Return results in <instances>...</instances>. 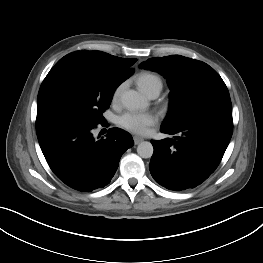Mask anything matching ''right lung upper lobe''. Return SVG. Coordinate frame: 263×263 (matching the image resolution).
Masks as SVG:
<instances>
[{
  "instance_id": "obj_1",
  "label": "right lung upper lobe",
  "mask_w": 263,
  "mask_h": 263,
  "mask_svg": "<svg viewBox=\"0 0 263 263\" xmlns=\"http://www.w3.org/2000/svg\"><path fill=\"white\" fill-rule=\"evenodd\" d=\"M62 59H76L87 61L99 66L115 69L129 75L134 70L130 69L137 59L120 58L101 51H77L64 56Z\"/></svg>"
}]
</instances>
